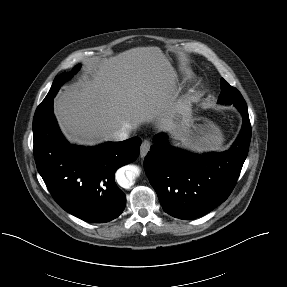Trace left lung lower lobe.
I'll return each instance as SVG.
<instances>
[{
	"label": "left lung lower lobe",
	"mask_w": 287,
	"mask_h": 287,
	"mask_svg": "<svg viewBox=\"0 0 287 287\" xmlns=\"http://www.w3.org/2000/svg\"><path fill=\"white\" fill-rule=\"evenodd\" d=\"M236 107L243 115V126L226 152L197 155L171 146L164 134L154 137L144 167L163 210L169 215L184 220L203 216L232 192L251 139L247 105Z\"/></svg>",
	"instance_id": "1"
}]
</instances>
